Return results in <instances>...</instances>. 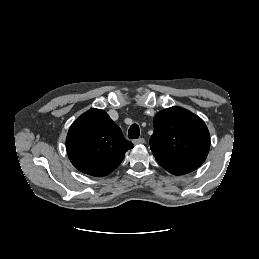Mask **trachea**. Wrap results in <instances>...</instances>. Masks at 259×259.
I'll list each match as a JSON object with an SVG mask.
<instances>
[{
	"label": "trachea",
	"instance_id": "obj_1",
	"mask_svg": "<svg viewBox=\"0 0 259 259\" xmlns=\"http://www.w3.org/2000/svg\"><path fill=\"white\" fill-rule=\"evenodd\" d=\"M140 136V129L137 124H132L128 130L129 139H137Z\"/></svg>",
	"mask_w": 259,
	"mask_h": 259
}]
</instances>
